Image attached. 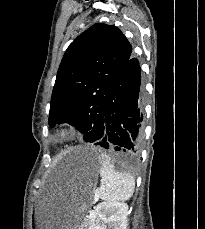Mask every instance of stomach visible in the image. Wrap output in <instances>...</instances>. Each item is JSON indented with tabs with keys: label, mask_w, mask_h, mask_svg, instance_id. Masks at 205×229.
<instances>
[{
	"label": "stomach",
	"mask_w": 205,
	"mask_h": 229,
	"mask_svg": "<svg viewBox=\"0 0 205 229\" xmlns=\"http://www.w3.org/2000/svg\"><path fill=\"white\" fill-rule=\"evenodd\" d=\"M85 181L84 195L74 206L64 196L39 197L30 214L31 229H82L83 217L93 197L92 186L99 171V158L94 151L78 148Z\"/></svg>",
	"instance_id": "stomach-1"
}]
</instances>
